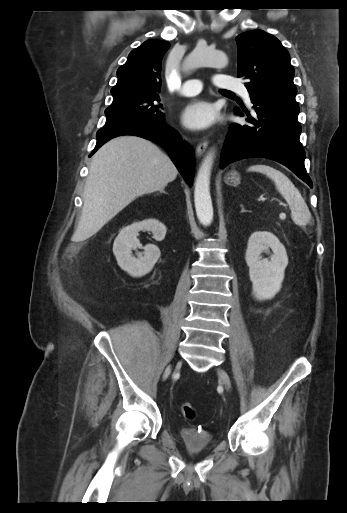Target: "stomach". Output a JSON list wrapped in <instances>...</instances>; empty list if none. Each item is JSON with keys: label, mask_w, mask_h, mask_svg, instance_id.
<instances>
[{"label": "stomach", "mask_w": 347, "mask_h": 513, "mask_svg": "<svg viewBox=\"0 0 347 513\" xmlns=\"http://www.w3.org/2000/svg\"><path fill=\"white\" fill-rule=\"evenodd\" d=\"M226 182L237 185L240 183V175L236 171H231L227 174Z\"/></svg>", "instance_id": "stomach-1"}]
</instances>
